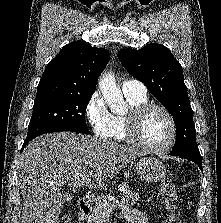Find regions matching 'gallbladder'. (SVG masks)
<instances>
[{
	"label": "gallbladder",
	"mask_w": 221,
	"mask_h": 223,
	"mask_svg": "<svg viewBox=\"0 0 221 223\" xmlns=\"http://www.w3.org/2000/svg\"><path fill=\"white\" fill-rule=\"evenodd\" d=\"M66 200H67V201H70V197L67 196V197H66Z\"/></svg>",
	"instance_id": "bac80fb5"
}]
</instances>
